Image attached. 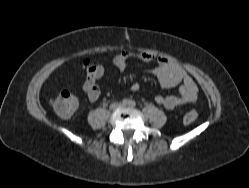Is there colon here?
Masks as SVG:
<instances>
[{"mask_svg": "<svg viewBox=\"0 0 249 188\" xmlns=\"http://www.w3.org/2000/svg\"><path fill=\"white\" fill-rule=\"evenodd\" d=\"M51 103L57 115L62 118L71 117L78 105L75 96L67 90L59 92L55 97L52 98ZM197 118V111L191 110L184 115L183 122L185 124H191L195 122Z\"/></svg>", "mask_w": 249, "mask_h": 188, "instance_id": "5ec220e1", "label": "colon"}]
</instances>
